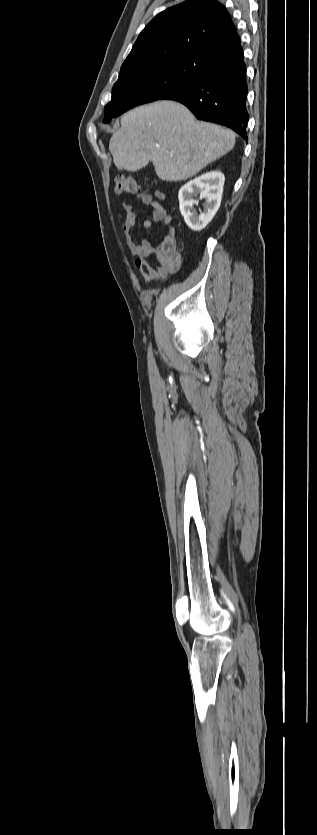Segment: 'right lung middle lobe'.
<instances>
[{"label":"right lung middle lobe","instance_id":"dd1d6c3e","mask_svg":"<svg viewBox=\"0 0 317 835\" xmlns=\"http://www.w3.org/2000/svg\"><path fill=\"white\" fill-rule=\"evenodd\" d=\"M203 78L196 57L141 68L119 76L113 86L111 101L104 109V123L144 103L161 99L166 94Z\"/></svg>","mask_w":317,"mask_h":835}]
</instances>
